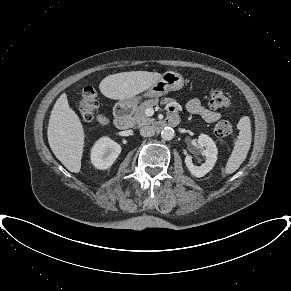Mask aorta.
<instances>
[{"instance_id": "obj_1", "label": "aorta", "mask_w": 291, "mask_h": 291, "mask_svg": "<svg viewBox=\"0 0 291 291\" xmlns=\"http://www.w3.org/2000/svg\"><path fill=\"white\" fill-rule=\"evenodd\" d=\"M175 132L171 127H165L161 132V137L164 140H171L174 138Z\"/></svg>"}]
</instances>
